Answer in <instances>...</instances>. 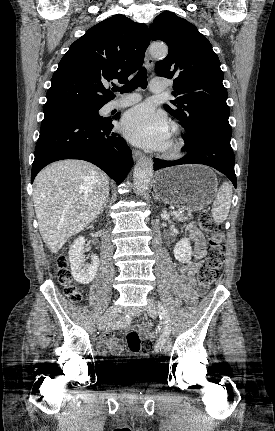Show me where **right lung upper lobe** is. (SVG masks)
I'll list each match as a JSON object with an SVG mask.
<instances>
[{
  "instance_id": "1",
  "label": "right lung upper lobe",
  "mask_w": 275,
  "mask_h": 431,
  "mask_svg": "<svg viewBox=\"0 0 275 431\" xmlns=\"http://www.w3.org/2000/svg\"><path fill=\"white\" fill-rule=\"evenodd\" d=\"M150 43L145 24L114 15L90 28L59 62L47 91L44 114L103 106L114 98L107 83L128 81L143 63Z\"/></svg>"
}]
</instances>
